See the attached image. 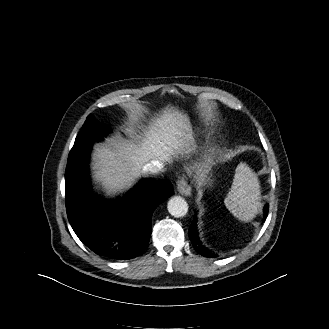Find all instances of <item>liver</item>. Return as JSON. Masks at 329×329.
<instances>
[{
  "instance_id": "1",
  "label": "liver",
  "mask_w": 329,
  "mask_h": 329,
  "mask_svg": "<svg viewBox=\"0 0 329 329\" xmlns=\"http://www.w3.org/2000/svg\"><path fill=\"white\" fill-rule=\"evenodd\" d=\"M134 121L138 118L134 115ZM141 128V127H139ZM137 143L121 139L98 146L92 156V177L107 195L129 189L141 175V169L152 160L171 162L172 156L190 151L191 125L187 114L166 108L151 120L141 135L130 130Z\"/></svg>"
}]
</instances>
